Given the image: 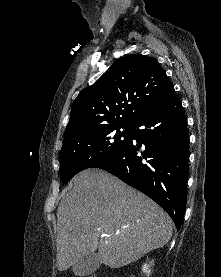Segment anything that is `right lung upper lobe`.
<instances>
[{"label": "right lung upper lobe", "mask_w": 221, "mask_h": 277, "mask_svg": "<svg viewBox=\"0 0 221 277\" xmlns=\"http://www.w3.org/2000/svg\"><path fill=\"white\" fill-rule=\"evenodd\" d=\"M174 90L155 58L131 54L116 61L75 99L64 141L87 129L132 125Z\"/></svg>", "instance_id": "cb5924a9"}]
</instances>
